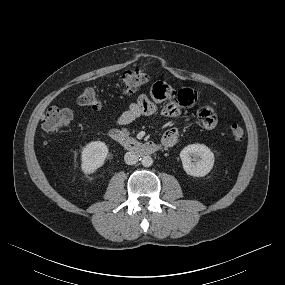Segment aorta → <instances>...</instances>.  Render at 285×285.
<instances>
[{
	"mask_svg": "<svg viewBox=\"0 0 285 285\" xmlns=\"http://www.w3.org/2000/svg\"><path fill=\"white\" fill-rule=\"evenodd\" d=\"M141 164L144 167H150L153 164V159L150 156H143L141 158Z\"/></svg>",
	"mask_w": 285,
	"mask_h": 285,
	"instance_id": "aorta-1",
	"label": "aorta"
}]
</instances>
